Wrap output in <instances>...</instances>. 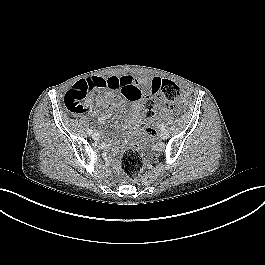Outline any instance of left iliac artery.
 I'll use <instances>...</instances> for the list:
<instances>
[{"mask_svg":"<svg viewBox=\"0 0 265 265\" xmlns=\"http://www.w3.org/2000/svg\"><path fill=\"white\" fill-rule=\"evenodd\" d=\"M165 124L164 123H162L161 125H160V128L162 129V130H164L165 129Z\"/></svg>","mask_w":265,"mask_h":265,"instance_id":"left-iliac-artery-1","label":"left iliac artery"}]
</instances>
